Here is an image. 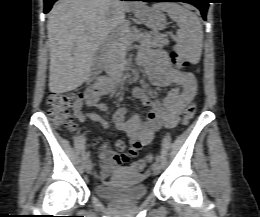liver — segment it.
Segmentation results:
<instances>
[{"label": "liver", "mask_w": 260, "mask_h": 217, "mask_svg": "<svg viewBox=\"0 0 260 217\" xmlns=\"http://www.w3.org/2000/svg\"><path fill=\"white\" fill-rule=\"evenodd\" d=\"M129 6L120 2L115 14L110 0H59L53 5L47 22L52 93L72 91L86 81L94 53L122 26Z\"/></svg>", "instance_id": "1"}]
</instances>
